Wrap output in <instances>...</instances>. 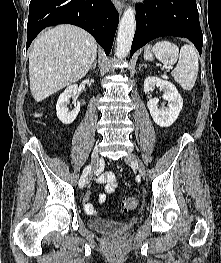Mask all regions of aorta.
I'll use <instances>...</instances> for the list:
<instances>
[{"label": "aorta", "instance_id": "obj_1", "mask_svg": "<svg viewBox=\"0 0 221 263\" xmlns=\"http://www.w3.org/2000/svg\"><path fill=\"white\" fill-rule=\"evenodd\" d=\"M135 29V10L132 7H127L120 20L117 32L115 50L117 57L125 58L129 54Z\"/></svg>", "mask_w": 221, "mask_h": 263}]
</instances>
